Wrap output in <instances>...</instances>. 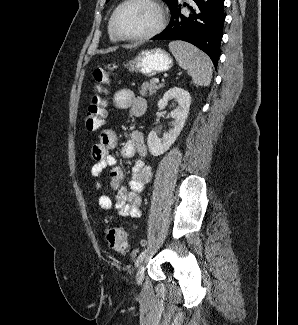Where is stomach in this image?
Returning <instances> with one entry per match:
<instances>
[{
    "label": "stomach",
    "mask_w": 298,
    "mask_h": 325,
    "mask_svg": "<svg viewBox=\"0 0 298 325\" xmlns=\"http://www.w3.org/2000/svg\"><path fill=\"white\" fill-rule=\"evenodd\" d=\"M129 72H140L144 76H155L159 72H166L173 66V58L167 50L154 46V48H141L133 58L124 64Z\"/></svg>",
    "instance_id": "stomach-1"
}]
</instances>
